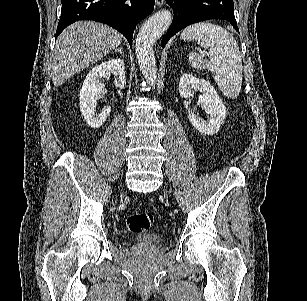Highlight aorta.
<instances>
[{
  "instance_id": "1",
  "label": "aorta",
  "mask_w": 307,
  "mask_h": 301,
  "mask_svg": "<svg viewBox=\"0 0 307 301\" xmlns=\"http://www.w3.org/2000/svg\"><path fill=\"white\" fill-rule=\"evenodd\" d=\"M173 14L170 10H158L147 18L136 36L135 52L138 66L148 84H155L157 78L156 60L153 46L168 30Z\"/></svg>"
}]
</instances>
